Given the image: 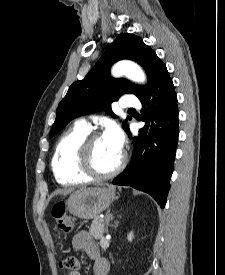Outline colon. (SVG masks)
I'll return each mask as SVG.
<instances>
[{"label": "colon", "mask_w": 225, "mask_h": 275, "mask_svg": "<svg viewBox=\"0 0 225 275\" xmlns=\"http://www.w3.org/2000/svg\"><path fill=\"white\" fill-rule=\"evenodd\" d=\"M52 215L58 221V226L64 233L71 232L73 224L65 217V205L63 203H59L53 208ZM62 268L70 272H77L80 268L79 260L74 256L66 257L62 261Z\"/></svg>", "instance_id": "1"}]
</instances>
